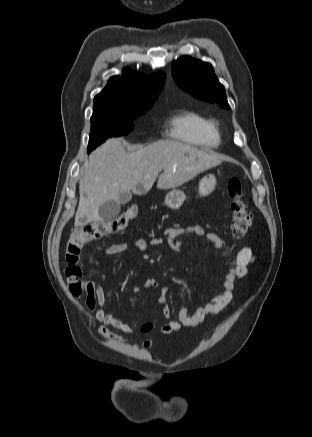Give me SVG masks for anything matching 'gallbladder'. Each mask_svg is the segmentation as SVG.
<instances>
[{
	"label": "gallbladder",
	"instance_id": "obj_1",
	"mask_svg": "<svg viewBox=\"0 0 312 437\" xmlns=\"http://www.w3.org/2000/svg\"><path fill=\"white\" fill-rule=\"evenodd\" d=\"M132 198L131 192H122L118 201L109 200L102 204L98 209V214L102 221H111L120 213V205L128 203Z\"/></svg>",
	"mask_w": 312,
	"mask_h": 437
}]
</instances>
